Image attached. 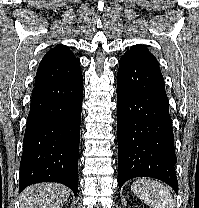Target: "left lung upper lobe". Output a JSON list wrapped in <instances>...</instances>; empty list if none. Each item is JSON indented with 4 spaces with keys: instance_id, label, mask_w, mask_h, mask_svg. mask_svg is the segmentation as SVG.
<instances>
[{
    "instance_id": "5c2ea615",
    "label": "left lung upper lobe",
    "mask_w": 199,
    "mask_h": 208,
    "mask_svg": "<svg viewBox=\"0 0 199 208\" xmlns=\"http://www.w3.org/2000/svg\"><path fill=\"white\" fill-rule=\"evenodd\" d=\"M124 56L140 60L142 63L160 71L156 58L143 45L132 46Z\"/></svg>"
}]
</instances>
